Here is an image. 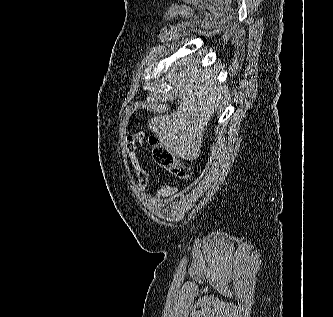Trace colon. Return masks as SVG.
Here are the masks:
<instances>
[{
	"label": "colon",
	"instance_id": "obj_1",
	"mask_svg": "<svg viewBox=\"0 0 333 317\" xmlns=\"http://www.w3.org/2000/svg\"><path fill=\"white\" fill-rule=\"evenodd\" d=\"M152 158L157 165L168 170L172 175L179 179H188L190 177L189 167L181 162L160 140L151 136L149 138Z\"/></svg>",
	"mask_w": 333,
	"mask_h": 317
}]
</instances>
